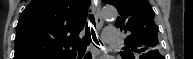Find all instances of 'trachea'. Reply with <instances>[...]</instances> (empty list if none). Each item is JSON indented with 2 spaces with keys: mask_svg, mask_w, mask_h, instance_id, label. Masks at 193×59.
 Returning <instances> with one entry per match:
<instances>
[{
  "mask_svg": "<svg viewBox=\"0 0 193 59\" xmlns=\"http://www.w3.org/2000/svg\"><path fill=\"white\" fill-rule=\"evenodd\" d=\"M90 20L92 22V24L95 26V20H94V16L92 14H90ZM94 40V42L99 45V42L97 40L95 31L93 29V27H88L86 26V30H85V36L82 38L79 46H78V54L79 55H83L87 49V46L89 45V43L91 42V40ZM102 44V42H100Z\"/></svg>",
  "mask_w": 193,
  "mask_h": 59,
  "instance_id": "obj_1",
  "label": "trachea"
}]
</instances>
